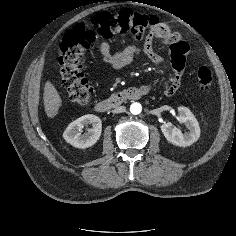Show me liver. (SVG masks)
<instances>
[{"label":"liver","mask_w":236,"mask_h":236,"mask_svg":"<svg viewBox=\"0 0 236 236\" xmlns=\"http://www.w3.org/2000/svg\"><path fill=\"white\" fill-rule=\"evenodd\" d=\"M43 100L47 116L49 118L55 117L62 106V100L55 86L50 81L45 83Z\"/></svg>","instance_id":"6515ba94"}]
</instances>
